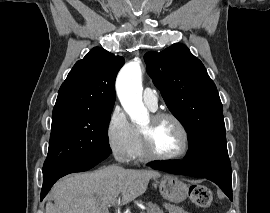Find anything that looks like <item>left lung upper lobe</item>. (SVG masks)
<instances>
[{"instance_id":"1","label":"left lung upper lobe","mask_w":270,"mask_h":213,"mask_svg":"<svg viewBox=\"0 0 270 213\" xmlns=\"http://www.w3.org/2000/svg\"><path fill=\"white\" fill-rule=\"evenodd\" d=\"M144 59L167 107L186 128L203 176L231 175L222 103L202 62L181 43L148 52Z\"/></svg>"}]
</instances>
